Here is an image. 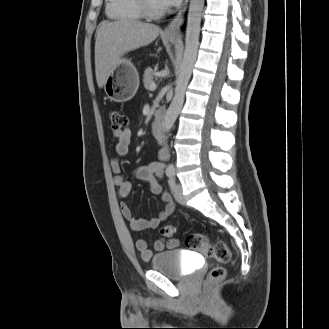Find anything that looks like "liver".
<instances>
[{
  "instance_id": "1",
  "label": "liver",
  "mask_w": 329,
  "mask_h": 329,
  "mask_svg": "<svg viewBox=\"0 0 329 329\" xmlns=\"http://www.w3.org/2000/svg\"><path fill=\"white\" fill-rule=\"evenodd\" d=\"M161 32L154 24L135 20L104 21L96 32L95 73L102 88L110 72L125 53L152 43Z\"/></svg>"
}]
</instances>
